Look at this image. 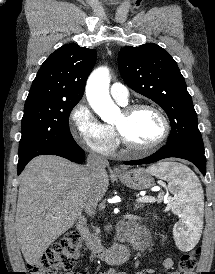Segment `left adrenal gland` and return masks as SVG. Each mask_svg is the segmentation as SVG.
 <instances>
[{
  "mask_svg": "<svg viewBox=\"0 0 215 274\" xmlns=\"http://www.w3.org/2000/svg\"><path fill=\"white\" fill-rule=\"evenodd\" d=\"M142 205L141 204H136L135 207H134V210H138L139 208H141Z\"/></svg>",
  "mask_w": 215,
  "mask_h": 274,
  "instance_id": "1",
  "label": "left adrenal gland"
}]
</instances>
